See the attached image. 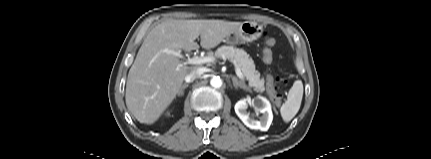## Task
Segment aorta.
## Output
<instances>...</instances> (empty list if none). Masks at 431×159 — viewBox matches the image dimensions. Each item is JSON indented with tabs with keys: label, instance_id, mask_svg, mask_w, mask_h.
<instances>
[{
	"label": "aorta",
	"instance_id": "aorta-1",
	"mask_svg": "<svg viewBox=\"0 0 431 159\" xmlns=\"http://www.w3.org/2000/svg\"><path fill=\"white\" fill-rule=\"evenodd\" d=\"M210 84H211V86H213L215 88H220L222 86V80L218 76H214L210 80Z\"/></svg>",
	"mask_w": 431,
	"mask_h": 159
}]
</instances>
